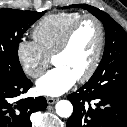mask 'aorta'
Masks as SVG:
<instances>
[{"instance_id": "762f6f07", "label": "aorta", "mask_w": 127, "mask_h": 127, "mask_svg": "<svg viewBox=\"0 0 127 127\" xmlns=\"http://www.w3.org/2000/svg\"><path fill=\"white\" fill-rule=\"evenodd\" d=\"M55 109L58 116L62 118L70 117L73 112V106L68 100H60L57 102Z\"/></svg>"}]
</instances>
